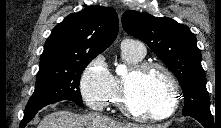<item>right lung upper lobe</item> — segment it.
Segmentation results:
<instances>
[{
	"instance_id": "cb5924a9",
	"label": "right lung upper lobe",
	"mask_w": 221,
	"mask_h": 128,
	"mask_svg": "<svg viewBox=\"0 0 221 128\" xmlns=\"http://www.w3.org/2000/svg\"><path fill=\"white\" fill-rule=\"evenodd\" d=\"M118 34V16L111 7L91 6L68 15L45 42L39 70L95 58Z\"/></svg>"
}]
</instances>
